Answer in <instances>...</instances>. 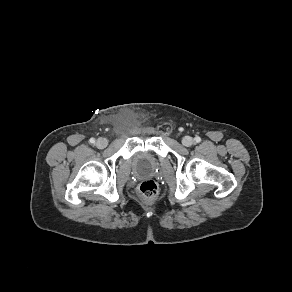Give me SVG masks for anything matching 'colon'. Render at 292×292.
Wrapping results in <instances>:
<instances>
[{
  "instance_id": "colon-1",
  "label": "colon",
  "mask_w": 292,
  "mask_h": 292,
  "mask_svg": "<svg viewBox=\"0 0 292 292\" xmlns=\"http://www.w3.org/2000/svg\"><path fill=\"white\" fill-rule=\"evenodd\" d=\"M139 194L145 202H152L158 195V186L155 181L148 179L139 185Z\"/></svg>"
}]
</instances>
